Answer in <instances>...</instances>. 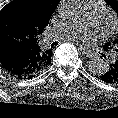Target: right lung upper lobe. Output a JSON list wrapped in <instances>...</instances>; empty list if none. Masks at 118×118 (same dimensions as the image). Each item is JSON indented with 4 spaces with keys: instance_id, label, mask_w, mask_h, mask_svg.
<instances>
[{
    "instance_id": "obj_1",
    "label": "right lung upper lobe",
    "mask_w": 118,
    "mask_h": 118,
    "mask_svg": "<svg viewBox=\"0 0 118 118\" xmlns=\"http://www.w3.org/2000/svg\"><path fill=\"white\" fill-rule=\"evenodd\" d=\"M30 1V14L35 31L23 37L16 36L8 24L0 20V47L5 44H15L36 53V71L42 72L51 63L52 49L42 48L39 44L40 36L48 26L50 17L54 13L60 0H28Z\"/></svg>"
}]
</instances>
